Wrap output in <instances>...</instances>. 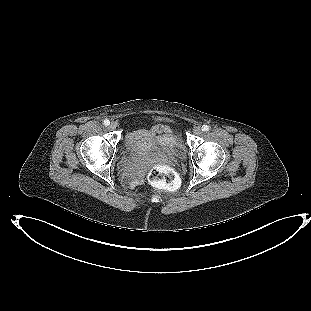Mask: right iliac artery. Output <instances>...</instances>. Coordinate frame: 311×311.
<instances>
[{
	"label": "right iliac artery",
	"mask_w": 311,
	"mask_h": 311,
	"mask_svg": "<svg viewBox=\"0 0 311 311\" xmlns=\"http://www.w3.org/2000/svg\"><path fill=\"white\" fill-rule=\"evenodd\" d=\"M110 124V121L108 119L104 120V125L108 126Z\"/></svg>",
	"instance_id": "82829eb1"
}]
</instances>
